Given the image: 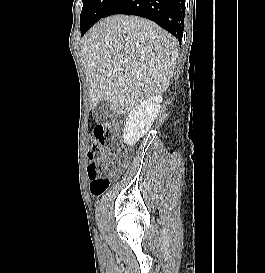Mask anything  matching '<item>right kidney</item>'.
<instances>
[{"mask_svg": "<svg viewBox=\"0 0 265 273\" xmlns=\"http://www.w3.org/2000/svg\"><path fill=\"white\" fill-rule=\"evenodd\" d=\"M162 101V95L152 96L131 110L123 130L125 144L133 146L149 131L160 111Z\"/></svg>", "mask_w": 265, "mask_h": 273, "instance_id": "right-kidney-1", "label": "right kidney"}]
</instances>
